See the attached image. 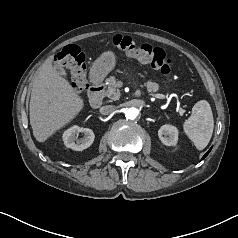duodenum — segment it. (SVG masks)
<instances>
[{
	"label": "duodenum",
	"instance_id": "410a0bca",
	"mask_svg": "<svg viewBox=\"0 0 238 238\" xmlns=\"http://www.w3.org/2000/svg\"><path fill=\"white\" fill-rule=\"evenodd\" d=\"M103 92H104V84L103 81L98 78H93V83L88 88V102L93 108H99L103 104ZM139 96V93H136Z\"/></svg>",
	"mask_w": 238,
	"mask_h": 238
}]
</instances>
